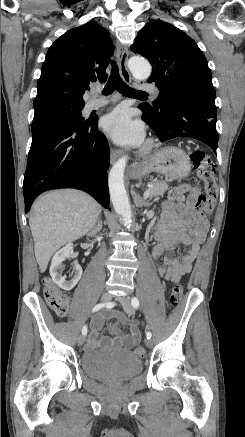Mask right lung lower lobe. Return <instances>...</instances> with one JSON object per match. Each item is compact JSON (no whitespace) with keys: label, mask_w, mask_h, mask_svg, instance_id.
<instances>
[{"label":"right lung lower lobe","mask_w":245,"mask_h":437,"mask_svg":"<svg viewBox=\"0 0 245 437\" xmlns=\"http://www.w3.org/2000/svg\"><path fill=\"white\" fill-rule=\"evenodd\" d=\"M98 119L85 125L54 121L32 133L24 176L25 213L41 193L60 188L83 190L109 208L107 140Z\"/></svg>","instance_id":"right-lung-lower-lobe-1"}]
</instances>
